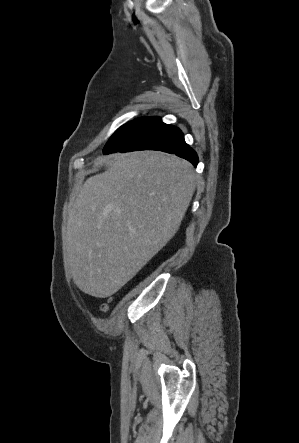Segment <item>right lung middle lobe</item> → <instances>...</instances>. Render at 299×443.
I'll list each match as a JSON object with an SVG mask.
<instances>
[{
  "label": "right lung middle lobe",
  "mask_w": 299,
  "mask_h": 443,
  "mask_svg": "<svg viewBox=\"0 0 299 443\" xmlns=\"http://www.w3.org/2000/svg\"><path fill=\"white\" fill-rule=\"evenodd\" d=\"M134 121V120H133ZM129 122L123 126H121L112 136L111 138L108 140L107 144L105 145L104 149H107L108 147H110L111 145H113V143L116 141V139L127 129V127L133 122ZM103 149V150H104Z\"/></svg>",
  "instance_id": "1"
}]
</instances>
